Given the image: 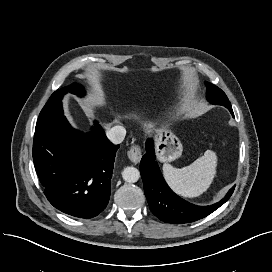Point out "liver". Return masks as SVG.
Masks as SVG:
<instances>
[{
  "mask_svg": "<svg viewBox=\"0 0 272 272\" xmlns=\"http://www.w3.org/2000/svg\"><path fill=\"white\" fill-rule=\"evenodd\" d=\"M115 122H118L117 120H115ZM110 126V124H107L106 125V128H108ZM149 127L151 128L152 127V125H149Z\"/></svg>",
  "mask_w": 272,
  "mask_h": 272,
  "instance_id": "1",
  "label": "liver"
}]
</instances>
